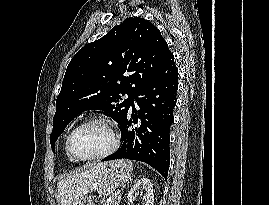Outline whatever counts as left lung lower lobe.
<instances>
[{"instance_id": "obj_1", "label": "left lung lower lobe", "mask_w": 269, "mask_h": 205, "mask_svg": "<svg viewBox=\"0 0 269 205\" xmlns=\"http://www.w3.org/2000/svg\"><path fill=\"white\" fill-rule=\"evenodd\" d=\"M177 77L178 69L171 53L156 76L135 97L140 110L137 111L132 102V109H129L121 123L123 145L102 161L122 158L142 161L167 178L170 163L169 132L174 120Z\"/></svg>"}]
</instances>
